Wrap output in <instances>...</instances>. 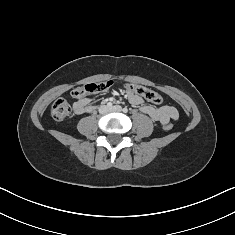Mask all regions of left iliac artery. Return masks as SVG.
I'll return each instance as SVG.
<instances>
[{
  "label": "left iliac artery",
  "mask_w": 235,
  "mask_h": 235,
  "mask_svg": "<svg viewBox=\"0 0 235 235\" xmlns=\"http://www.w3.org/2000/svg\"><path fill=\"white\" fill-rule=\"evenodd\" d=\"M123 112H124V113H127V112H128V109H127V108H123Z\"/></svg>",
  "instance_id": "44dca946"
}]
</instances>
